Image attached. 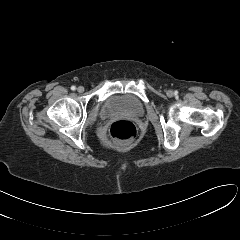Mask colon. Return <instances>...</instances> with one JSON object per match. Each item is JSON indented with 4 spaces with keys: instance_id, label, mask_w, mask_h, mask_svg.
I'll return each mask as SVG.
<instances>
[{
    "instance_id": "obj_1",
    "label": "colon",
    "mask_w": 240,
    "mask_h": 240,
    "mask_svg": "<svg viewBox=\"0 0 240 240\" xmlns=\"http://www.w3.org/2000/svg\"><path fill=\"white\" fill-rule=\"evenodd\" d=\"M138 130L136 125L127 120H119L111 124L109 128L110 138L119 144H126L134 141Z\"/></svg>"
}]
</instances>
